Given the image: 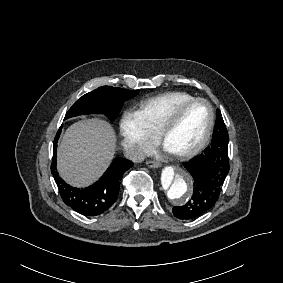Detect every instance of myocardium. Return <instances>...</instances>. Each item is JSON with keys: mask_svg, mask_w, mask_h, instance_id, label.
I'll return each mask as SVG.
<instances>
[{"mask_svg": "<svg viewBox=\"0 0 283 283\" xmlns=\"http://www.w3.org/2000/svg\"><path fill=\"white\" fill-rule=\"evenodd\" d=\"M194 103H204L207 106L208 111H209V121H208L207 127H206L202 137L200 138V140L198 141V143L194 147H192L191 149H189V150H187L183 153L174 155L179 160H187L191 157H194L195 155H197L200 151H202L205 148V146L207 145V143L209 142V140L211 138L213 126H214V123H215L214 108H213L212 104L204 98L195 97V98H192V99H189V100L179 102L177 104H174L172 106V109L176 113H181L182 110H184L186 107H188L189 105L194 104ZM173 122H174V120L172 121V123ZM168 130H169V128H166V115H165L164 111H162L158 116V128L156 130L155 135H156L158 144L164 150H166L165 147H164V140H165L166 132Z\"/></svg>", "mask_w": 283, "mask_h": 283, "instance_id": "myocardium-1", "label": "myocardium"}]
</instances>
